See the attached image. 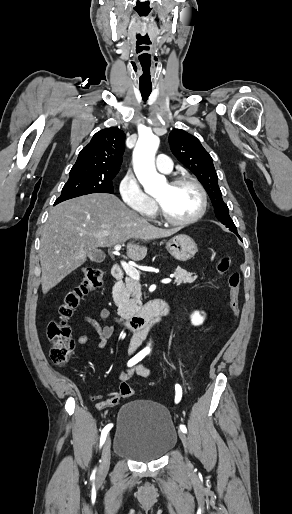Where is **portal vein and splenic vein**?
Listing matches in <instances>:
<instances>
[{
  "label": "portal vein and splenic vein",
  "mask_w": 292,
  "mask_h": 514,
  "mask_svg": "<svg viewBox=\"0 0 292 514\" xmlns=\"http://www.w3.org/2000/svg\"><path fill=\"white\" fill-rule=\"evenodd\" d=\"M121 248L122 246H114L115 252H112V254H118ZM121 266L123 270H125L127 276H130V278H133V280H139L140 272H138L136 268H133L131 264H127V262H121ZM169 282H171L170 278H168V280H162V284H169Z\"/></svg>",
  "instance_id": "18ae733b"
}]
</instances>
